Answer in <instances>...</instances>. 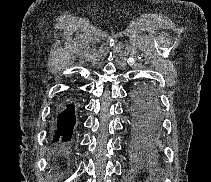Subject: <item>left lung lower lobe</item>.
I'll return each mask as SVG.
<instances>
[{"instance_id": "left-lung-lower-lobe-1", "label": "left lung lower lobe", "mask_w": 211, "mask_h": 182, "mask_svg": "<svg viewBox=\"0 0 211 182\" xmlns=\"http://www.w3.org/2000/svg\"><path fill=\"white\" fill-rule=\"evenodd\" d=\"M133 100L139 118L152 131L157 130L161 122V109L155 89L148 83H141L133 91Z\"/></svg>"}]
</instances>
